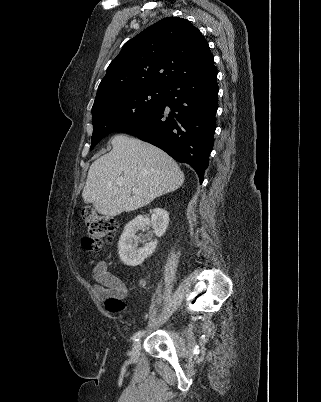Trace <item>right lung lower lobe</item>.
I'll list each match as a JSON object with an SVG mask.
<instances>
[{
	"instance_id": "right-lung-lower-lobe-1",
	"label": "right lung lower lobe",
	"mask_w": 321,
	"mask_h": 402,
	"mask_svg": "<svg viewBox=\"0 0 321 402\" xmlns=\"http://www.w3.org/2000/svg\"><path fill=\"white\" fill-rule=\"evenodd\" d=\"M217 108V70L212 63L169 84L157 110L117 131L134 135L188 163L202 183L214 144Z\"/></svg>"
}]
</instances>
